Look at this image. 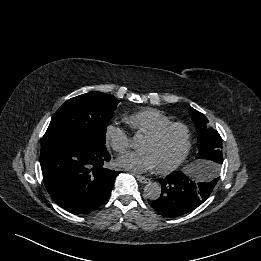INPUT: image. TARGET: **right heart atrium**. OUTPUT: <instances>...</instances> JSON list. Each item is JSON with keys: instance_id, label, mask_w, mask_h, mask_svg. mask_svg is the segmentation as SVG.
<instances>
[{"instance_id": "obj_1", "label": "right heart atrium", "mask_w": 261, "mask_h": 261, "mask_svg": "<svg viewBox=\"0 0 261 261\" xmlns=\"http://www.w3.org/2000/svg\"><path fill=\"white\" fill-rule=\"evenodd\" d=\"M104 137L106 144L117 153H124L131 147L129 133L113 122L105 127Z\"/></svg>"}]
</instances>
